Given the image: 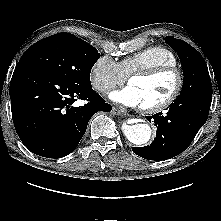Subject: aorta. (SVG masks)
Instances as JSON below:
<instances>
[{"mask_svg":"<svg viewBox=\"0 0 221 221\" xmlns=\"http://www.w3.org/2000/svg\"><path fill=\"white\" fill-rule=\"evenodd\" d=\"M122 131L125 137L135 145L146 144L152 134V129L148 124L137 123V124H123Z\"/></svg>","mask_w":221,"mask_h":221,"instance_id":"1","label":"aorta"}]
</instances>
